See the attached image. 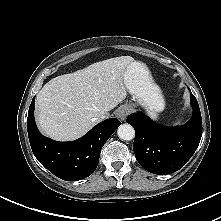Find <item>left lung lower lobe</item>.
<instances>
[{
    "label": "left lung lower lobe",
    "instance_id": "0a47b994",
    "mask_svg": "<svg viewBox=\"0 0 221 221\" xmlns=\"http://www.w3.org/2000/svg\"><path fill=\"white\" fill-rule=\"evenodd\" d=\"M193 115L182 126L164 127L141 112L127 117L135 129L133 150L137 161L149 172L159 175L182 168L196 151L202 136L198 102L190 93Z\"/></svg>",
    "mask_w": 221,
    "mask_h": 221
}]
</instances>
